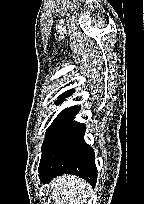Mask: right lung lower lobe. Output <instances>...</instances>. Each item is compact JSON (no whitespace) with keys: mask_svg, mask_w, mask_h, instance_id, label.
Masks as SVG:
<instances>
[{"mask_svg":"<svg viewBox=\"0 0 144 204\" xmlns=\"http://www.w3.org/2000/svg\"><path fill=\"white\" fill-rule=\"evenodd\" d=\"M79 110V106L67 110L42 150L38 170L42 181L68 173L82 177L95 186L97 170L94 151L83 139L85 125L73 120Z\"/></svg>","mask_w":144,"mask_h":204,"instance_id":"1","label":"right lung lower lobe"}]
</instances>
